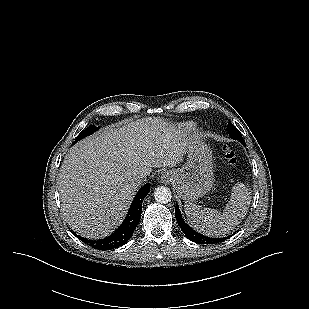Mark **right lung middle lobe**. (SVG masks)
Listing matches in <instances>:
<instances>
[{
  "mask_svg": "<svg viewBox=\"0 0 309 309\" xmlns=\"http://www.w3.org/2000/svg\"><path fill=\"white\" fill-rule=\"evenodd\" d=\"M99 129V127H96L95 125H91L89 127H87L85 130H83L76 138L75 143L81 139H83L84 137L94 133L95 131H97Z\"/></svg>",
  "mask_w": 309,
  "mask_h": 309,
  "instance_id": "right-lung-middle-lobe-1",
  "label": "right lung middle lobe"
}]
</instances>
